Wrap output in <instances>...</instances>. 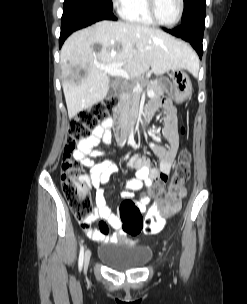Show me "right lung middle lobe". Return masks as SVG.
I'll list each match as a JSON object with an SVG mask.
<instances>
[{
  "mask_svg": "<svg viewBox=\"0 0 247 304\" xmlns=\"http://www.w3.org/2000/svg\"><path fill=\"white\" fill-rule=\"evenodd\" d=\"M79 2L88 6H97L112 11V0H69Z\"/></svg>",
  "mask_w": 247,
  "mask_h": 304,
  "instance_id": "1",
  "label": "right lung middle lobe"
}]
</instances>
